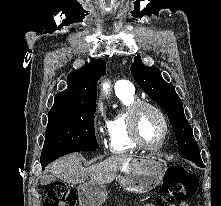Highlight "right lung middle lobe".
Returning a JSON list of instances; mask_svg holds the SVG:
<instances>
[{
  "mask_svg": "<svg viewBox=\"0 0 221 206\" xmlns=\"http://www.w3.org/2000/svg\"><path fill=\"white\" fill-rule=\"evenodd\" d=\"M95 110L96 107L50 111L41 163H50L71 152L97 149L99 145L94 133Z\"/></svg>",
  "mask_w": 221,
  "mask_h": 206,
  "instance_id": "1",
  "label": "right lung middle lobe"
}]
</instances>
